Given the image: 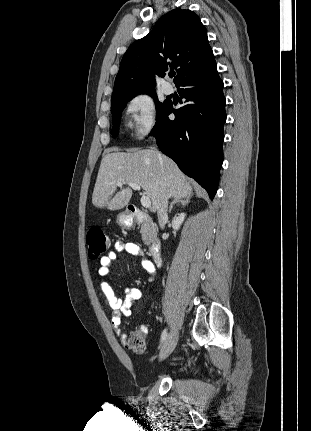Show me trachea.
<instances>
[{"mask_svg":"<svg viewBox=\"0 0 311 431\" xmlns=\"http://www.w3.org/2000/svg\"><path fill=\"white\" fill-rule=\"evenodd\" d=\"M175 76V72L169 73V77L172 78Z\"/></svg>","mask_w":311,"mask_h":431,"instance_id":"obj_1","label":"trachea"}]
</instances>
